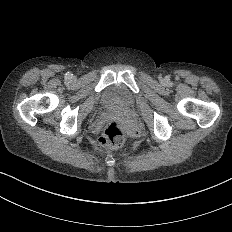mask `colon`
Wrapping results in <instances>:
<instances>
[{"instance_id":"1","label":"colon","mask_w":232,"mask_h":232,"mask_svg":"<svg viewBox=\"0 0 232 232\" xmlns=\"http://www.w3.org/2000/svg\"><path fill=\"white\" fill-rule=\"evenodd\" d=\"M126 140L127 128L121 120H113L107 123L101 131L102 149H114V144L122 145Z\"/></svg>"}]
</instances>
